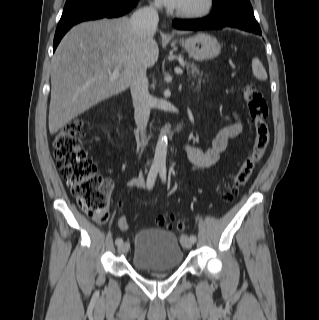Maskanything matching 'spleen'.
Instances as JSON below:
<instances>
[{"mask_svg": "<svg viewBox=\"0 0 319 320\" xmlns=\"http://www.w3.org/2000/svg\"><path fill=\"white\" fill-rule=\"evenodd\" d=\"M252 71H253L254 76L257 79H259L261 81H264L267 79L266 70L258 58H254L252 60Z\"/></svg>", "mask_w": 319, "mask_h": 320, "instance_id": "obj_1", "label": "spleen"}]
</instances>
